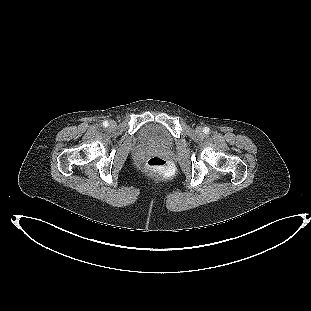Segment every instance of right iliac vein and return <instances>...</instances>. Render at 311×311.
Returning <instances> with one entry per match:
<instances>
[{
	"label": "right iliac vein",
	"mask_w": 311,
	"mask_h": 311,
	"mask_svg": "<svg viewBox=\"0 0 311 311\" xmlns=\"http://www.w3.org/2000/svg\"><path fill=\"white\" fill-rule=\"evenodd\" d=\"M115 126H116L115 121L111 120V121L109 122V127H110V128H115Z\"/></svg>",
	"instance_id": "1"
}]
</instances>
